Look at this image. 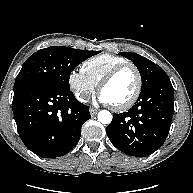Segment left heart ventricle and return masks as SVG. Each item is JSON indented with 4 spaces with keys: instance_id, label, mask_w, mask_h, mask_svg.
I'll list each match as a JSON object with an SVG mask.
<instances>
[{
    "instance_id": "left-heart-ventricle-1",
    "label": "left heart ventricle",
    "mask_w": 193,
    "mask_h": 193,
    "mask_svg": "<svg viewBox=\"0 0 193 193\" xmlns=\"http://www.w3.org/2000/svg\"><path fill=\"white\" fill-rule=\"evenodd\" d=\"M137 84L135 72L128 68L121 71L103 89V94L110 104L119 105L126 102L134 93Z\"/></svg>"
}]
</instances>
